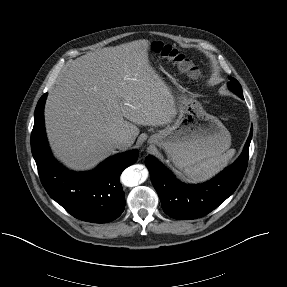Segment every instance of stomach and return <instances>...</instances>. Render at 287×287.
Returning <instances> with one entry per match:
<instances>
[{"mask_svg":"<svg viewBox=\"0 0 287 287\" xmlns=\"http://www.w3.org/2000/svg\"><path fill=\"white\" fill-rule=\"evenodd\" d=\"M178 116L149 143L165 150L179 169L220 156L231 146V135L222 122L208 114L201 103L185 94L178 97Z\"/></svg>","mask_w":287,"mask_h":287,"instance_id":"0dacf381","label":"stomach"}]
</instances>
